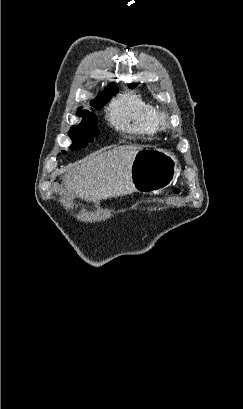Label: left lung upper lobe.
I'll list each match as a JSON object with an SVG mask.
<instances>
[{"label": "left lung upper lobe", "mask_w": 243, "mask_h": 409, "mask_svg": "<svg viewBox=\"0 0 243 409\" xmlns=\"http://www.w3.org/2000/svg\"><path fill=\"white\" fill-rule=\"evenodd\" d=\"M130 86L134 88L137 86V84H130Z\"/></svg>", "instance_id": "5c2ea615"}]
</instances>
